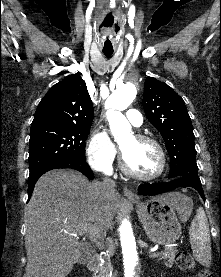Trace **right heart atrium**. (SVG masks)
I'll return each instance as SVG.
<instances>
[{
	"mask_svg": "<svg viewBox=\"0 0 221 277\" xmlns=\"http://www.w3.org/2000/svg\"><path fill=\"white\" fill-rule=\"evenodd\" d=\"M117 156L115 144L106 130L95 129L86 143V157L89 165L98 172L110 173Z\"/></svg>",
	"mask_w": 221,
	"mask_h": 277,
	"instance_id": "right-heart-atrium-1",
	"label": "right heart atrium"
}]
</instances>
